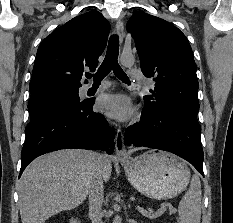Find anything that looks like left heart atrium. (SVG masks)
Returning a JSON list of instances; mask_svg holds the SVG:
<instances>
[{"label": "left heart atrium", "mask_w": 233, "mask_h": 223, "mask_svg": "<svg viewBox=\"0 0 233 223\" xmlns=\"http://www.w3.org/2000/svg\"><path fill=\"white\" fill-rule=\"evenodd\" d=\"M99 111L110 119L124 122L133 116L134 107L129 97L113 95L100 100Z\"/></svg>", "instance_id": "39dd6f15"}]
</instances>
